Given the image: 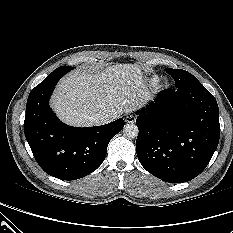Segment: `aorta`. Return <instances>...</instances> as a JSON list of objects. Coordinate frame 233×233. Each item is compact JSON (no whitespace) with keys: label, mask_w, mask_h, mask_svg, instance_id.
Returning <instances> with one entry per match:
<instances>
[{"label":"aorta","mask_w":233,"mask_h":233,"mask_svg":"<svg viewBox=\"0 0 233 233\" xmlns=\"http://www.w3.org/2000/svg\"><path fill=\"white\" fill-rule=\"evenodd\" d=\"M138 127L134 123H127L123 128V134L127 138H135L138 136Z\"/></svg>","instance_id":"1"}]
</instances>
